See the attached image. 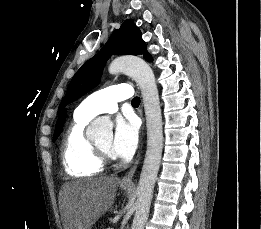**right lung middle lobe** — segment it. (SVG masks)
<instances>
[{
    "label": "right lung middle lobe",
    "instance_id": "right-lung-middle-lobe-1",
    "mask_svg": "<svg viewBox=\"0 0 261 229\" xmlns=\"http://www.w3.org/2000/svg\"><path fill=\"white\" fill-rule=\"evenodd\" d=\"M62 127H63V125H57V126L55 127V132H54V136H53V141H55V140L58 138V136L60 135V132L62 131Z\"/></svg>",
    "mask_w": 261,
    "mask_h": 229
}]
</instances>
